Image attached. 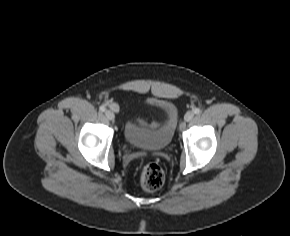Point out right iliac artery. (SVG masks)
<instances>
[{
	"label": "right iliac artery",
	"mask_w": 290,
	"mask_h": 236,
	"mask_svg": "<svg viewBox=\"0 0 290 236\" xmlns=\"http://www.w3.org/2000/svg\"><path fill=\"white\" fill-rule=\"evenodd\" d=\"M100 111L104 112L105 111V107L104 106H100Z\"/></svg>",
	"instance_id": "obj_1"
}]
</instances>
